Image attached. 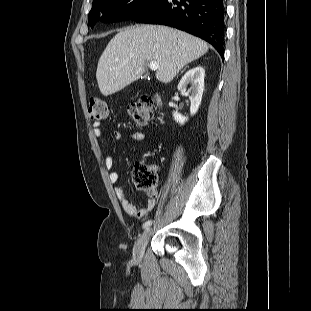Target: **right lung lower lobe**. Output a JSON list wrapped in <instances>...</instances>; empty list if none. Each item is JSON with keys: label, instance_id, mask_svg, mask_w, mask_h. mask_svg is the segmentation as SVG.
I'll return each instance as SVG.
<instances>
[{"label": "right lung lower lobe", "instance_id": "1", "mask_svg": "<svg viewBox=\"0 0 311 311\" xmlns=\"http://www.w3.org/2000/svg\"><path fill=\"white\" fill-rule=\"evenodd\" d=\"M186 31L210 43L223 57L225 8L223 0H157L130 18Z\"/></svg>", "mask_w": 311, "mask_h": 311}]
</instances>
